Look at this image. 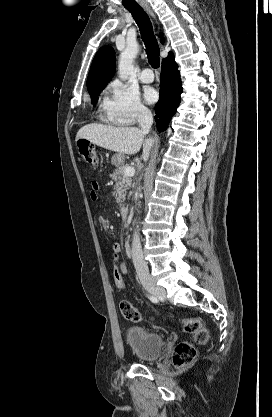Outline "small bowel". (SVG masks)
<instances>
[{
    "instance_id": "obj_1",
    "label": "small bowel",
    "mask_w": 272,
    "mask_h": 417,
    "mask_svg": "<svg viewBox=\"0 0 272 417\" xmlns=\"http://www.w3.org/2000/svg\"><path fill=\"white\" fill-rule=\"evenodd\" d=\"M98 193H99V184L96 181H93L92 184H91V189H90V199L95 203L98 201V198H99ZM112 250H113L114 254L118 255L120 253V250H121L120 243L119 242L114 243L113 246H112ZM119 267H120V270H121L123 276L126 275L127 269H126L125 264L120 263Z\"/></svg>"
}]
</instances>
